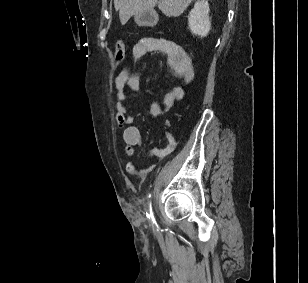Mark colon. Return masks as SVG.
Returning <instances> with one entry per match:
<instances>
[{
  "mask_svg": "<svg viewBox=\"0 0 308 283\" xmlns=\"http://www.w3.org/2000/svg\"><path fill=\"white\" fill-rule=\"evenodd\" d=\"M114 56L117 61H122L125 57V44L123 41H118L115 45Z\"/></svg>",
  "mask_w": 308,
  "mask_h": 283,
  "instance_id": "5ec220e1",
  "label": "colon"
}]
</instances>
